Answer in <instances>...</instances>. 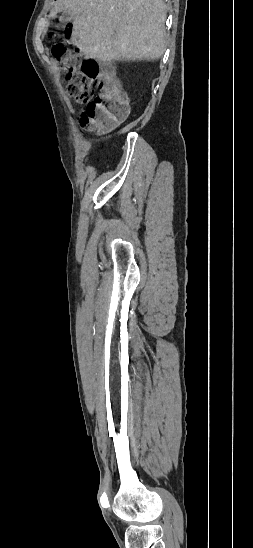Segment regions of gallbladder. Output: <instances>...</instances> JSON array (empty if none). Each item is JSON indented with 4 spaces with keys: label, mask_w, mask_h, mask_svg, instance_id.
Masks as SVG:
<instances>
[{
    "label": "gallbladder",
    "mask_w": 253,
    "mask_h": 548,
    "mask_svg": "<svg viewBox=\"0 0 253 548\" xmlns=\"http://www.w3.org/2000/svg\"><path fill=\"white\" fill-rule=\"evenodd\" d=\"M61 22H67L72 19L71 14L68 11H64L62 16L60 17Z\"/></svg>",
    "instance_id": "gallbladder-1"
}]
</instances>
